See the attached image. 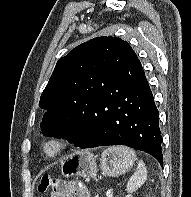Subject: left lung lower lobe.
<instances>
[{
	"mask_svg": "<svg viewBox=\"0 0 191 197\" xmlns=\"http://www.w3.org/2000/svg\"><path fill=\"white\" fill-rule=\"evenodd\" d=\"M85 149L125 145L145 151L163 164L159 114L143 69L127 76L121 85L106 94L91 114L79 119L69 137Z\"/></svg>",
	"mask_w": 191,
	"mask_h": 197,
	"instance_id": "1",
	"label": "left lung lower lobe"
}]
</instances>
